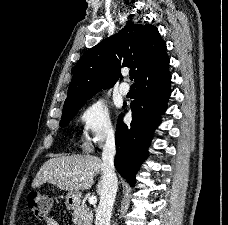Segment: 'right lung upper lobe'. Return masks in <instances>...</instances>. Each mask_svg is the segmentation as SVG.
Returning <instances> with one entry per match:
<instances>
[{
  "label": "right lung upper lobe",
  "instance_id": "right-lung-upper-lobe-1",
  "mask_svg": "<svg viewBox=\"0 0 228 225\" xmlns=\"http://www.w3.org/2000/svg\"><path fill=\"white\" fill-rule=\"evenodd\" d=\"M164 55L166 43L155 26L127 21L119 33L88 49L77 62L64 107L87 101L102 88L112 87L121 67H136L137 80Z\"/></svg>",
  "mask_w": 228,
  "mask_h": 225
}]
</instances>
